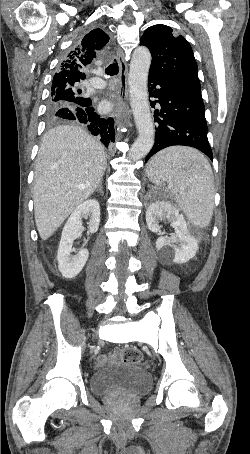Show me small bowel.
I'll use <instances>...</instances> for the list:
<instances>
[{
  "label": "small bowel",
  "instance_id": "1",
  "mask_svg": "<svg viewBox=\"0 0 250 454\" xmlns=\"http://www.w3.org/2000/svg\"><path fill=\"white\" fill-rule=\"evenodd\" d=\"M107 360H108V357L104 356V355H102L98 358L99 363H105V362H107Z\"/></svg>",
  "mask_w": 250,
  "mask_h": 454
}]
</instances>
